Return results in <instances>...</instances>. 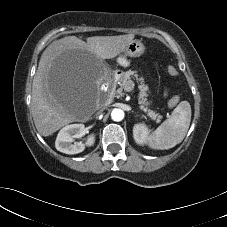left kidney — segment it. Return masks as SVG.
Listing matches in <instances>:
<instances>
[{"instance_id":"obj_1","label":"left kidney","mask_w":227,"mask_h":227,"mask_svg":"<svg viewBox=\"0 0 227 227\" xmlns=\"http://www.w3.org/2000/svg\"><path fill=\"white\" fill-rule=\"evenodd\" d=\"M149 129L145 124H135L133 127V137L137 144L144 145L147 142Z\"/></svg>"}]
</instances>
